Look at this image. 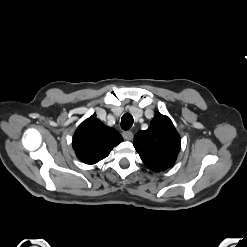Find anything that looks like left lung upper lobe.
Returning <instances> with one entry per match:
<instances>
[{
    "label": "left lung upper lobe",
    "mask_w": 247,
    "mask_h": 247,
    "mask_svg": "<svg viewBox=\"0 0 247 247\" xmlns=\"http://www.w3.org/2000/svg\"><path fill=\"white\" fill-rule=\"evenodd\" d=\"M134 147L146 166L159 172L171 167L177 159L180 136L171 120L157 113L150 127L135 135Z\"/></svg>",
    "instance_id": "obj_1"
}]
</instances>
